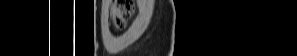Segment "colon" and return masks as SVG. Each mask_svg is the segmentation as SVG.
I'll use <instances>...</instances> for the list:
<instances>
[{
  "label": "colon",
  "instance_id": "1",
  "mask_svg": "<svg viewBox=\"0 0 297 56\" xmlns=\"http://www.w3.org/2000/svg\"><path fill=\"white\" fill-rule=\"evenodd\" d=\"M133 13V2L131 0H116L112 7V19L117 28L126 24L127 18Z\"/></svg>",
  "mask_w": 297,
  "mask_h": 56
}]
</instances>
